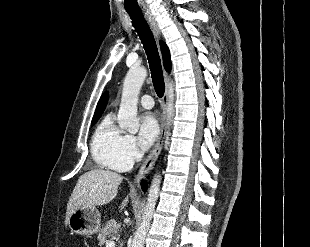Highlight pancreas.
I'll list each match as a JSON object with an SVG mask.
<instances>
[{
    "label": "pancreas",
    "instance_id": "cf45deb5",
    "mask_svg": "<svg viewBox=\"0 0 310 247\" xmlns=\"http://www.w3.org/2000/svg\"><path fill=\"white\" fill-rule=\"evenodd\" d=\"M119 229L120 225L115 220L108 221L98 236L100 245L107 244V237L118 234Z\"/></svg>",
    "mask_w": 310,
    "mask_h": 247
}]
</instances>
